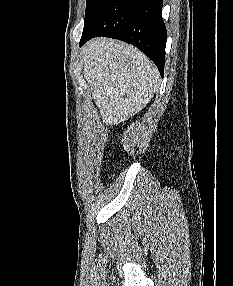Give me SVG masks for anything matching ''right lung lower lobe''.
<instances>
[{
	"label": "right lung lower lobe",
	"instance_id": "1",
	"mask_svg": "<svg viewBox=\"0 0 233 286\" xmlns=\"http://www.w3.org/2000/svg\"><path fill=\"white\" fill-rule=\"evenodd\" d=\"M163 0H100L85 19L82 46L97 36L130 43L164 71L166 27L162 19Z\"/></svg>",
	"mask_w": 233,
	"mask_h": 286
}]
</instances>
